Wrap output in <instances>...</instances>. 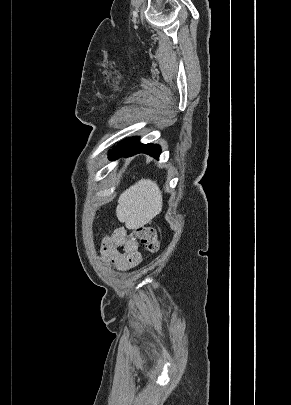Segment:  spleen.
I'll return each instance as SVG.
<instances>
[{"label": "spleen", "mask_w": 291, "mask_h": 405, "mask_svg": "<svg viewBox=\"0 0 291 405\" xmlns=\"http://www.w3.org/2000/svg\"><path fill=\"white\" fill-rule=\"evenodd\" d=\"M162 192L156 182L141 179L119 197L117 217L125 222L146 224L162 210Z\"/></svg>", "instance_id": "spleen-1"}]
</instances>
